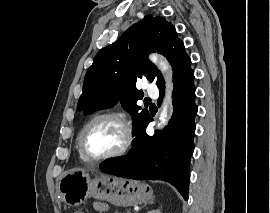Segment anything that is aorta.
I'll use <instances>...</instances> for the list:
<instances>
[{"instance_id":"aorta-1","label":"aorta","mask_w":270,"mask_h":213,"mask_svg":"<svg viewBox=\"0 0 270 213\" xmlns=\"http://www.w3.org/2000/svg\"><path fill=\"white\" fill-rule=\"evenodd\" d=\"M150 60L157 64L161 71L165 72V71H168L170 66L169 64L166 62V60H164L163 58H158L157 55L153 54L150 56ZM171 98H170V95L167 94L166 96V99L164 101V104H163V109L161 111V114H160V117H159V123H158V127L159 128H163L165 125H167V107H168V103L170 102Z\"/></svg>"}]
</instances>
